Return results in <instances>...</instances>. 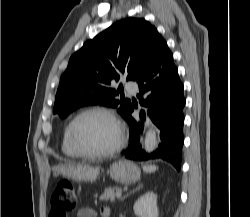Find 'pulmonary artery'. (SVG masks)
I'll list each match as a JSON object with an SVG mask.
<instances>
[{"instance_id":"e3ab8cb5","label":"pulmonary artery","mask_w":250,"mask_h":217,"mask_svg":"<svg viewBox=\"0 0 250 217\" xmlns=\"http://www.w3.org/2000/svg\"><path fill=\"white\" fill-rule=\"evenodd\" d=\"M125 88L129 93H136L138 91V84L134 81H128L125 83Z\"/></svg>"}]
</instances>
